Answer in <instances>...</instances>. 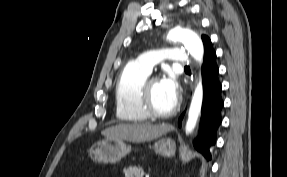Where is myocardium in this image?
<instances>
[{
	"label": "myocardium",
	"mask_w": 287,
	"mask_h": 177,
	"mask_svg": "<svg viewBox=\"0 0 287 177\" xmlns=\"http://www.w3.org/2000/svg\"><path fill=\"white\" fill-rule=\"evenodd\" d=\"M156 81H159V79L156 77H153V78L147 79L145 83L143 84L141 93H140V99H139L140 107L142 111L148 117L158 118V119L170 117L177 112L179 108V100L176 99L174 106L170 110L166 112L157 111L153 106L152 97H151V86Z\"/></svg>",
	"instance_id": "f54148a6"
}]
</instances>
